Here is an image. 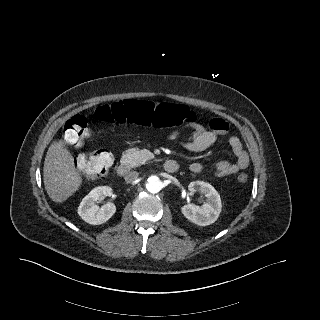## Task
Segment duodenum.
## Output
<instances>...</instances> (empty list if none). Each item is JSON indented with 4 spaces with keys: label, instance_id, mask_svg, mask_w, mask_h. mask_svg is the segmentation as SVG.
Returning a JSON list of instances; mask_svg holds the SVG:
<instances>
[{
    "label": "duodenum",
    "instance_id": "duodenum-1",
    "mask_svg": "<svg viewBox=\"0 0 320 320\" xmlns=\"http://www.w3.org/2000/svg\"><path fill=\"white\" fill-rule=\"evenodd\" d=\"M163 168L167 173H175L179 169V164L177 161L169 159L164 162ZM129 171L130 167L126 162H121L117 167V173L121 177L127 175Z\"/></svg>",
    "mask_w": 320,
    "mask_h": 320
}]
</instances>
